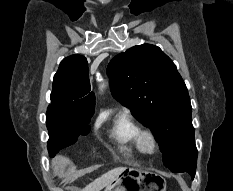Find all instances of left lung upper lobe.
<instances>
[{
	"mask_svg": "<svg viewBox=\"0 0 233 191\" xmlns=\"http://www.w3.org/2000/svg\"><path fill=\"white\" fill-rule=\"evenodd\" d=\"M107 74L113 97L152 130L164 165H197L190 98L172 60L155 45H138L115 56Z\"/></svg>",
	"mask_w": 233,
	"mask_h": 191,
	"instance_id": "1",
	"label": "left lung upper lobe"
}]
</instances>
